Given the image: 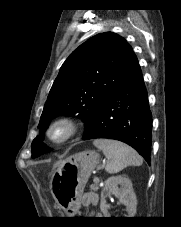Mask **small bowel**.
Listing matches in <instances>:
<instances>
[{
	"label": "small bowel",
	"mask_w": 181,
	"mask_h": 227,
	"mask_svg": "<svg viewBox=\"0 0 181 227\" xmlns=\"http://www.w3.org/2000/svg\"><path fill=\"white\" fill-rule=\"evenodd\" d=\"M99 203V195L95 192H88L83 196V204L86 206H96ZM98 213L91 212L90 216H96Z\"/></svg>",
	"instance_id": "small-bowel-1"
}]
</instances>
